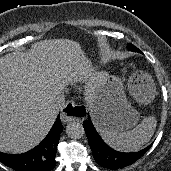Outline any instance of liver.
<instances>
[{"label":"liver","instance_id":"obj_1","mask_svg":"<svg viewBox=\"0 0 171 171\" xmlns=\"http://www.w3.org/2000/svg\"><path fill=\"white\" fill-rule=\"evenodd\" d=\"M89 67L79 44L63 39L38 42L29 54L0 58V150L22 152L39 143L57 116L53 106L63 87L86 81ZM94 90L88 82L97 122L100 108Z\"/></svg>","mask_w":171,"mask_h":171}]
</instances>
